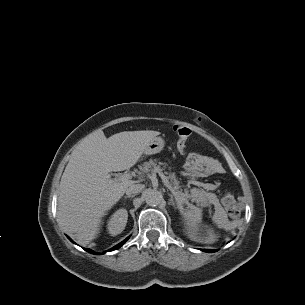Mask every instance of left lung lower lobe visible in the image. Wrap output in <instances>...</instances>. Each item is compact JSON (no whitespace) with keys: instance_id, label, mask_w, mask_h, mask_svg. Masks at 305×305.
<instances>
[{"instance_id":"0a47b994","label":"left lung lower lobe","mask_w":305,"mask_h":305,"mask_svg":"<svg viewBox=\"0 0 305 305\" xmlns=\"http://www.w3.org/2000/svg\"><path fill=\"white\" fill-rule=\"evenodd\" d=\"M202 251L212 253V252H216L217 250H215V249H204V250H202Z\"/></svg>"}]
</instances>
